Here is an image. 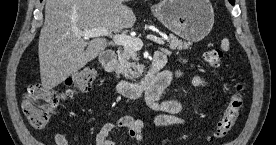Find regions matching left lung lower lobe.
Here are the masks:
<instances>
[{
    "mask_svg": "<svg viewBox=\"0 0 276 145\" xmlns=\"http://www.w3.org/2000/svg\"><path fill=\"white\" fill-rule=\"evenodd\" d=\"M229 2H230L232 5H234L235 0H229Z\"/></svg>",
    "mask_w": 276,
    "mask_h": 145,
    "instance_id": "1",
    "label": "left lung lower lobe"
}]
</instances>
